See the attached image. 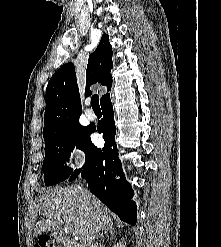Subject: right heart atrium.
Returning a JSON list of instances; mask_svg holds the SVG:
<instances>
[{
  "mask_svg": "<svg viewBox=\"0 0 221 247\" xmlns=\"http://www.w3.org/2000/svg\"><path fill=\"white\" fill-rule=\"evenodd\" d=\"M84 157V151L80 147L75 144L69 147L68 158L75 167H80L83 164Z\"/></svg>",
  "mask_w": 221,
  "mask_h": 247,
  "instance_id": "d8ad5b80",
  "label": "right heart atrium"
}]
</instances>
